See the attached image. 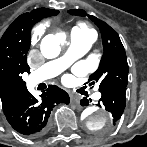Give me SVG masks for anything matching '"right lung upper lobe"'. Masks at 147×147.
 Returning <instances> with one entry per match:
<instances>
[{
	"mask_svg": "<svg viewBox=\"0 0 147 147\" xmlns=\"http://www.w3.org/2000/svg\"><path fill=\"white\" fill-rule=\"evenodd\" d=\"M58 13L53 9H35L16 18L3 34L0 40V98L3 110L29 94L21 77L24 72H30L26 56L31 38L26 29L42 18Z\"/></svg>",
	"mask_w": 147,
	"mask_h": 147,
	"instance_id": "1",
	"label": "right lung upper lobe"
}]
</instances>
